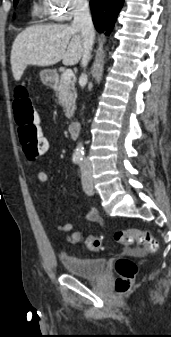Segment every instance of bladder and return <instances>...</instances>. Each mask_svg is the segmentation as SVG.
<instances>
[{
	"instance_id": "bladder-1",
	"label": "bladder",
	"mask_w": 171,
	"mask_h": 337,
	"mask_svg": "<svg viewBox=\"0 0 171 337\" xmlns=\"http://www.w3.org/2000/svg\"><path fill=\"white\" fill-rule=\"evenodd\" d=\"M62 264L67 274L82 278H98L105 272L106 260L103 258H84L63 254Z\"/></svg>"
}]
</instances>
